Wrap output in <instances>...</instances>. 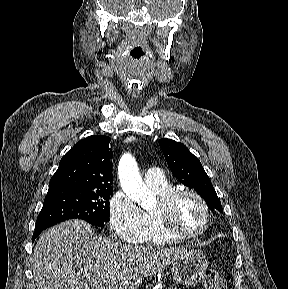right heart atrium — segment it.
I'll use <instances>...</instances> for the list:
<instances>
[{
  "label": "right heart atrium",
  "instance_id": "d8ad5b80",
  "mask_svg": "<svg viewBox=\"0 0 288 289\" xmlns=\"http://www.w3.org/2000/svg\"><path fill=\"white\" fill-rule=\"evenodd\" d=\"M109 223L115 237L125 243H141L146 232L144 212L123 192L109 200Z\"/></svg>",
  "mask_w": 288,
  "mask_h": 289
}]
</instances>
